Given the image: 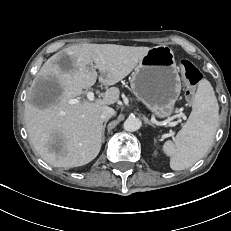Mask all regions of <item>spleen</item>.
Masks as SVG:
<instances>
[{"mask_svg": "<svg viewBox=\"0 0 231 231\" xmlns=\"http://www.w3.org/2000/svg\"><path fill=\"white\" fill-rule=\"evenodd\" d=\"M219 121V106L207 80L200 81L192 112L173 141H166L163 152L170 156L173 170H184L200 160L210 148Z\"/></svg>", "mask_w": 231, "mask_h": 231, "instance_id": "spleen-1", "label": "spleen"}]
</instances>
